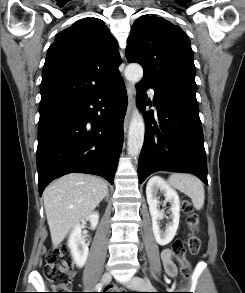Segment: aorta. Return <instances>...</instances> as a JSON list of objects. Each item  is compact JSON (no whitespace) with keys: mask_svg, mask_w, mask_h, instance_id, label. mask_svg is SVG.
I'll return each instance as SVG.
<instances>
[{"mask_svg":"<svg viewBox=\"0 0 245 293\" xmlns=\"http://www.w3.org/2000/svg\"><path fill=\"white\" fill-rule=\"evenodd\" d=\"M126 79L136 84L142 80L143 68L137 63L129 64L124 71ZM145 124L139 111L133 114L128 131V153L132 157L140 154L144 142Z\"/></svg>","mask_w":245,"mask_h":293,"instance_id":"aorta-1","label":"aorta"}]
</instances>
